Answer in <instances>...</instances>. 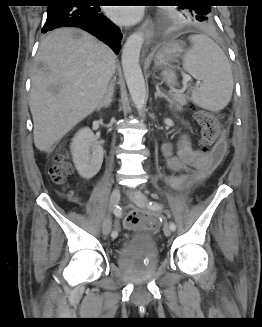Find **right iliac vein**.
I'll return each mask as SVG.
<instances>
[{"label": "right iliac vein", "mask_w": 262, "mask_h": 327, "mask_svg": "<svg viewBox=\"0 0 262 327\" xmlns=\"http://www.w3.org/2000/svg\"><path fill=\"white\" fill-rule=\"evenodd\" d=\"M120 200V189L115 187L110 194V209H113ZM111 216L108 214L102 224V232L104 235H108L111 231Z\"/></svg>", "instance_id": "obj_1"}]
</instances>
